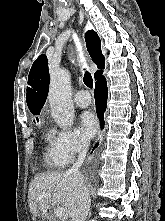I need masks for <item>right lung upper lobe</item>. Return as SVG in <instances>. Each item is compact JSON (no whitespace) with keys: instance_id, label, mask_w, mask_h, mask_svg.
I'll return each instance as SVG.
<instances>
[{"instance_id":"obj_1","label":"right lung upper lobe","mask_w":165,"mask_h":221,"mask_svg":"<svg viewBox=\"0 0 165 221\" xmlns=\"http://www.w3.org/2000/svg\"><path fill=\"white\" fill-rule=\"evenodd\" d=\"M87 50L92 60L98 65V70L94 77L97 81L102 77L105 65L104 56L101 53V42L97 33L93 30L85 34ZM49 90V72L48 61L44 54H41L33 63L28 77V88L26 93V101L29 110L33 114H39L43 107ZM38 119V118H36Z\"/></svg>"}]
</instances>
